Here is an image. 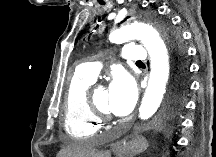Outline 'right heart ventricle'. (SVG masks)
<instances>
[{"label": "right heart ventricle", "instance_id": "right-heart-ventricle-1", "mask_svg": "<svg viewBox=\"0 0 216 157\" xmlns=\"http://www.w3.org/2000/svg\"><path fill=\"white\" fill-rule=\"evenodd\" d=\"M93 82L76 72L70 77L63 101V127L71 137L87 138L97 132L100 120L93 113L88 99V90Z\"/></svg>", "mask_w": 216, "mask_h": 157}]
</instances>
